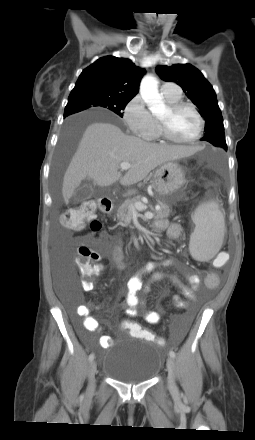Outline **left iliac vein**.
Wrapping results in <instances>:
<instances>
[{
	"instance_id": "obj_1",
	"label": "left iliac vein",
	"mask_w": 255,
	"mask_h": 440,
	"mask_svg": "<svg viewBox=\"0 0 255 440\" xmlns=\"http://www.w3.org/2000/svg\"><path fill=\"white\" fill-rule=\"evenodd\" d=\"M168 384L170 389H175V361L172 357L167 358Z\"/></svg>"
}]
</instances>
